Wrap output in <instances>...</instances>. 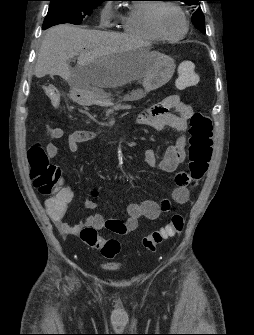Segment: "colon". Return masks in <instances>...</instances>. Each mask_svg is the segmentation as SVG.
Here are the masks:
<instances>
[{
	"label": "colon",
	"mask_w": 254,
	"mask_h": 335,
	"mask_svg": "<svg viewBox=\"0 0 254 335\" xmlns=\"http://www.w3.org/2000/svg\"><path fill=\"white\" fill-rule=\"evenodd\" d=\"M198 81L195 64L191 61H183L178 65L177 87L184 89L193 86ZM44 93L54 107L61 105V96L53 85H46ZM213 127L211 119L200 112L191 115L189 124V176L192 183L200 181L205 175L212 157ZM31 169V177L35 178V185L41 194H51L61 181V172L48 160L44 147L35 143L27 152ZM61 201H49L48 208L59 211ZM184 227V218L180 214L170 217L168 223L159 230L145 236L142 245L145 250L154 252L165 240L179 235ZM81 240L91 248L100 250L106 259H114L120 253V244L116 239H105L98 234L93 227H85L80 232Z\"/></svg>",
	"instance_id": "1"
}]
</instances>
